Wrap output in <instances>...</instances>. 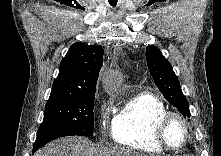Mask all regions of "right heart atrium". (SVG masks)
Listing matches in <instances>:
<instances>
[{"instance_id": "obj_1", "label": "right heart atrium", "mask_w": 221, "mask_h": 156, "mask_svg": "<svg viewBox=\"0 0 221 156\" xmlns=\"http://www.w3.org/2000/svg\"><path fill=\"white\" fill-rule=\"evenodd\" d=\"M108 111H109V107H108V106H105V107L102 109V112H101V118H102V120H104V118L106 117Z\"/></svg>"}]
</instances>
